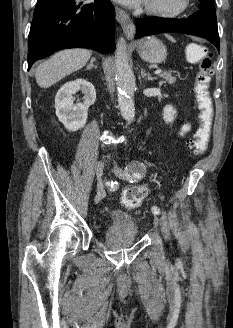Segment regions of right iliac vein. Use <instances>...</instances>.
Returning a JSON list of instances; mask_svg holds the SVG:
<instances>
[{"label": "right iliac vein", "mask_w": 233, "mask_h": 328, "mask_svg": "<svg viewBox=\"0 0 233 328\" xmlns=\"http://www.w3.org/2000/svg\"><path fill=\"white\" fill-rule=\"evenodd\" d=\"M96 178H97V189L95 196V203H98L105 196V181L103 180V164L98 162L96 164Z\"/></svg>", "instance_id": "63e3f726"}]
</instances>
